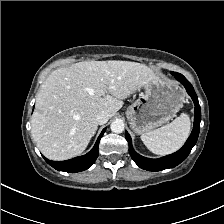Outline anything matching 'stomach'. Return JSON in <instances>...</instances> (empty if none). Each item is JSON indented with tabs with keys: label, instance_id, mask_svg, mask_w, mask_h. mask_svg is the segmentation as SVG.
<instances>
[{
	"label": "stomach",
	"instance_id": "obj_1",
	"mask_svg": "<svg viewBox=\"0 0 224 224\" xmlns=\"http://www.w3.org/2000/svg\"><path fill=\"white\" fill-rule=\"evenodd\" d=\"M126 111L132 130L144 134L169 122L182 108L184 91L173 81L156 78Z\"/></svg>",
	"mask_w": 224,
	"mask_h": 224
}]
</instances>
